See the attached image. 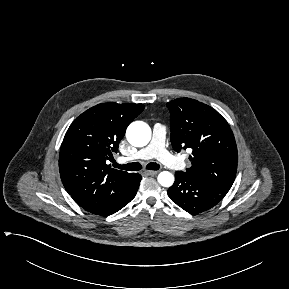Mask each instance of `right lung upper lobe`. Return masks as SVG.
<instances>
[{
    "mask_svg": "<svg viewBox=\"0 0 289 289\" xmlns=\"http://www.w3.org/2000/svg\"><path fill=\"white\" fill-rule=\"evenodd\" d=\"M143 109V104H98L67 130L59 154L60 177L85 210L99 214L130 188L133 173L113 169L106 161L117 152L126 128Z\"/></svg>",
    "mask_w": 289,
    "mask_h": 289,
    "instance_id": "1",
    "label": "right lung upper lobe"
}]
</instances>
